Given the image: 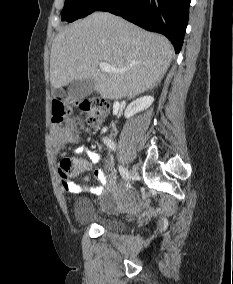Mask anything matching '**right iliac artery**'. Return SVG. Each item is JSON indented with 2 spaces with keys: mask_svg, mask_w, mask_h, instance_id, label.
Wrapping results in <instances>:
<instances>
[{
  "mask_svg": "<svg viewBox=\"0 0 233 284\" xmlns=\"http://www.w3.org/2000/svg\"><path fill=\"white\" fill-rule=\"evenodd\" d=\"M104 143L107 145V147H109L110 149L114 150L115 149V145L114 142L110 139V138H103ZM119 172L121 174V176L127 180V177H129V172L125 167L119 166Z\"/></svg>",
  "mask_w": 233,
  "mask_h": 284,
  "instance_id": "right-iliac-artery-1",
  "label": "right iliac artery"
}]
</instances>
